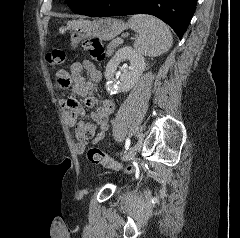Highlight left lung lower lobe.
<instances>
[{
    "label": "left lung lower lobe",
    "instance_id": "1",
    "mask_svg": "<svg viewBox=\"0 0 240 238\" xmlns=\"http://www.w3.org/2000/svg\"><path fill=\"white\" fill-rule=\"evenodd\" d=\"M197 0H95L78 14L90 17L150 14L166 22L182 39Z\"/></svg>",
    "mask_w": 240,
    "mask_h": 238
}]
</instances>
